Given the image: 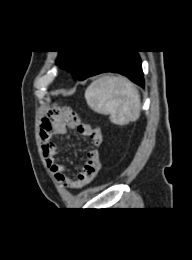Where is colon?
I'll list each match as a JSON object with an SVG mask.
<instances>
[{"instance_id": "1", "label": "colon", "mask_w": 192, "mask_h": 260, "mask_svg": "<svg viewBox=\"0 0 192 260\" xmlns=\"http://www.w3.org/2000/svg\"><path fill=\"white\" fill-rule=\"evenodd\" d=\"M67 114V109H63V108H55L53 110L50 111L49 116H64Z\"/></svg>"}]
</instances>
